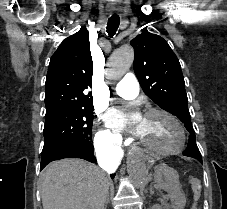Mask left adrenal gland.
Segmentation results:
<instances>
[{"label":"left adrenal gland","mask_w":227,"mask_h":209,"mask_svg":"<svg viewBox=\"0 0 227 209\" xmlns=\"http://www.w3.org/2000/svg\"><path fill=\"white\" fill-rule=\"evenodd\" d=\"M153 183H151V187H150V195H154V191H153V187H152Z\"/></svg>","instance_id":"a2214340"}]
</instances>
